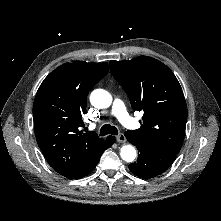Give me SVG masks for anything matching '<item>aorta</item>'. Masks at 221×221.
I'll return each mask as SVG.
<instances>
[{
    "mask_svg": "<svg viewBox=\"0 0 221 221\" xmlns=\"http://www.w3.org/2000/svg\"><path fill=\"white\" fill-rule=\"evenodd\" d=\"M90 102L96 108H108L112 103V96L106 90L96 89L90 95ZM136 155V149L132 145H124L120 150V156L126 162H133Z\"/></svg>",
    "mask_w": 221,
    "mask_h": 221,
    "instance_id": "1",
    "label": "aorta"
}]
</instances>
